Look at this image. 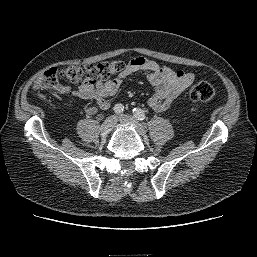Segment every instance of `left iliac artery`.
<instances>
[{
  "mask_svg": "<svg viewBox=\"0 0 257 257\" xmlns=\"http://www.w3.org/2000/svg\"><path fill=\"white\" fill-rule=\"evenodd\" d=\"M133 114L140 121H143L146 118L144 111L141 110L140 108H134Z\"/></svg>",
  "mask_w": 257,
  "mask_h": 257,
  "instance_id": "obj_1",
  "label": "left iliac artery"
}]
</instances>
